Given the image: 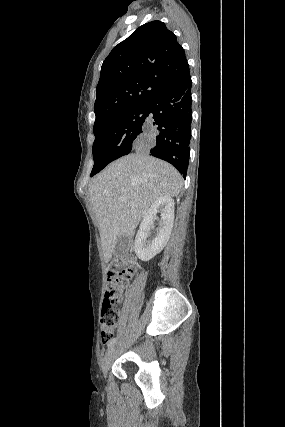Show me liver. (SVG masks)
Masks as SVG:
<instances>
[{
    "mask_svg": "<svg viewBox=\"0 0 285 427\" xmlns=\"http://www.w3.org/2000/svg\"><path fill=\"white\" fill-rule=\"evenodd\" d=\"M182 183L173 166L144 152L112 162L94 178L89 194L107 262L116 252L117 239L131 237L152 204L160 197L177 196Z\"/></svg>",
    "mask_w": 285,
    "mask_h": 427,
    "instance_id": "6515ba94",
    "label": "liver"
}]
</instances>
